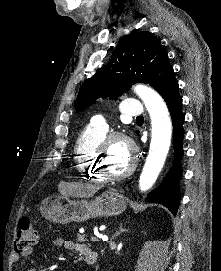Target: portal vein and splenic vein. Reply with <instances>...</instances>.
Instances as JSON below:
<instances>
[{
  "label": "portal vein and splenic vein",
  "instance_id": "18ae733b",
  "mask_svg": "<svg viewBox=\"0 0 221 271\" xmlns=\"http://www.w3.org/2000/svg\"><path fill=\"white\" fill-rule=\"evenodd\" d=\"M90 242H99L101 239L99 237H96L95 234H90Z\"/></svg>",
  "mask_w": 221,
  "mask_h": 271
}]
</instances>
